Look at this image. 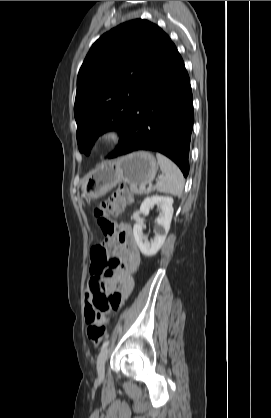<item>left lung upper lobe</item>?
Masks as SVG:
<instances>
[{"mask_svg":"<svg viewBox=\"0 0 271 418\" xmlns=\"http://www.w3.org/2000/svg\"><path fill=\"white\" fill-rule=\"evenodd\" d=\"M172 44L157 25L135 19L111 29L92 45L78 73L74 105L81 152L89 154L100 134L123 131Z\"/></svg>","mask_w":271,"mask_h":418,"instance_id":"5c2ea615","label":"left lung upper lobe"}]
</instances>
